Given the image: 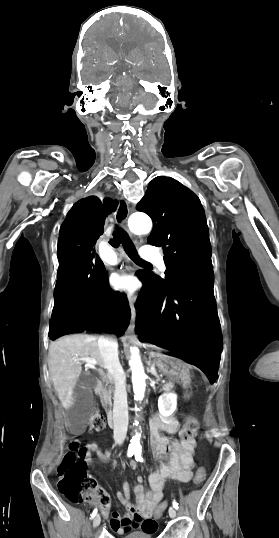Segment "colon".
<instances>
[{
    "label": "colon",
    "mask_w": 279,
    "mask_h": 538,
    "mask_svg": "<svg viewBox=\"0 0 279 538\" xmlns=\"http://www.w3.org/2000/svg\"><path fill=\"white\" fill-rule=\"evenodd\" d=\"M104 428V418L101 415H94L91 420L90 429L99 432ZM198 429V420L193 416H189L179 433L180 439L182 441L191 440L196 435ZM88 457V450L86 447H80L78 441L74 440L69 444V449L57 469L59 476L58 489L73 503H83L85 500L93 498L100 505V508L105 511L109 506V496L97 487L96 481L87 472L85 464ZM205 478V469L198 467L194 476L195 484H202ZM167 506V503H161L155 510V517L159 518L162 516Z\"/></svg>",
    "instance_id": "1"
}]
</instances>
